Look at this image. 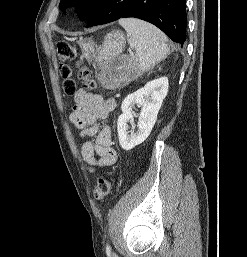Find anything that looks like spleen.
<instances>
[{
	"label": "spleen",
	"mask_w": 247,
	"mask_h": 257,
	"mask_svg": "<svg viewBox=\"0 0 247 257\" xmlns=\"http://www.w3.org/2000/svg\"><path fill=\"white\" fill-rule=\"evenodd\" d=\"M119 24L127 32L130 47L135 49L141 72L148 71L167 57L168 39L157 27L135 18H122Z\"/></svg>",
	"instance_id": "obj_1"
}]
</instances>
